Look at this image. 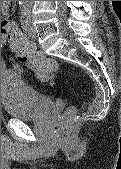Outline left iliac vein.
Wrapping results in <instances>:
<instances>
[{"instance_id":"1","label":"left iliac vein","mask_w":121,"mask_h":169,"mask_svg":"<svg viewBox=\"0 0 121 169\" xmlns=\"http://www.w3.org/2000/svg\"><path fill=\"white\" fill-rule=\"evenodd\" d=\"M26 32L27 34L31 37V38H35L37 36V32H36V29L35 27L33 26L32 24V21L30 19V16H29V19H28V24H27V27H26Z\"/></svg>"}]
</instances>
